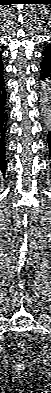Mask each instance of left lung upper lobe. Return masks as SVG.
Returning <instances> with one entry per match:
<instances>
[{"mask_svg": "<svg viewBox=\"0 0 51 393\" xmlns=\"http://www.w3.org/2000/svg\"><path fill=\"white\" fill-rule=\"evenodd\" d=\"M44 52H47V53L51 54V44H49V45L45 48Z\"/></svg>", "mask_w": 51, "mask_h": 393, "instance_id": "left-lung-upper-lobe-1", "label": "left lung upper lobe"}]
</instances>
